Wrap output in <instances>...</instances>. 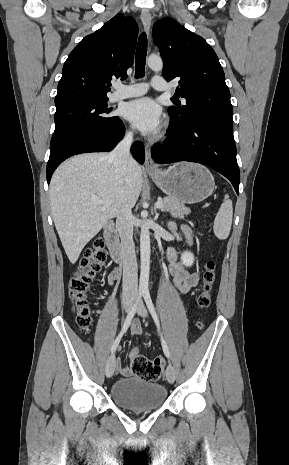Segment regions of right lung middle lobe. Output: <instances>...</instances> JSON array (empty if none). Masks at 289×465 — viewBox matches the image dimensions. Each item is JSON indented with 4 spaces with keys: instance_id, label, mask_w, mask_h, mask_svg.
<instances>
[{
    "instance_id": "obj_1",
    "label": "right lung middle lobe",
    "mask_w": 289,
    "mask_h": 465,
    "mask_svg": "<svg viewBox=\"0 0 289 465\" xmlns=\"http://www.w3.org/2000/svg\"><path fill=\"white\" fill-rule=\"evenodd\" d=\"M108 99L75 100L56 105L55 131L50 150L66 142L77 134L111 127L118 119L108 116Z\"/></svg>"
}]
</instances>
